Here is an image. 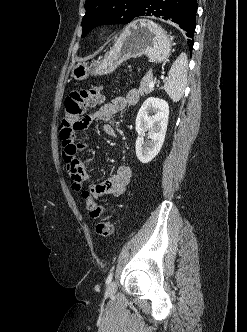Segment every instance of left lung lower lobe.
Masks as SVG:
<instances>
[{
	"label": "left lung lower lobe",
	"mask_w": 247,
	"mask_h": 332,
	"mask_svg": "<svg viewBox=\"0 0 247 332\" xmlns=\"http://www.w3.org/2000/svg\"><path fill=\"white\" fill-rule=\"evenodd\" d=\"M197 8V0H146L137 17L156 16L170 20L185 30L189 38H193ZM187 44L192 51L194 40L188 39Z\"/></svg>",
	"instance_id": "0a47b994"
}]
</instances>
